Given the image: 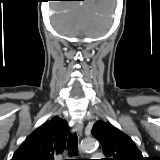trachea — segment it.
<instances>
[{
  "instance_id": "1",
  "label": "trachea",
  "mask_w": 160,
  "mask_h": 160,
  "mask_svg": "<svg viewBox=\"0 0 160 160\" xmlns=\"http://www.w3.org/2000/svg\"><path fill=\"white\" fill-rule=\"evenodd\" d=\"M67 146L70 156H74L77 154L78 138L76 134L68 138ZM67 160H76V159H67Z\"/></svg>"
}]
</instances>
